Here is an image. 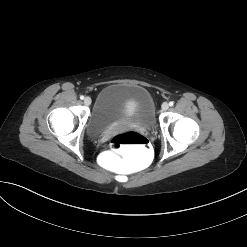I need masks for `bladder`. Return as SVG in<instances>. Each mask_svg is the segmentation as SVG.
Returning <instances> with one entry per match:
<instances>
[{
	"label": "bladder",
	"instance_id": "1",
	"mask_svg": "<svg viewBox=\"0 0 247 247\" xmlns=\"http://www.w3.org/2000/svg\"><path fill=\"white\" fill-rule=\"evenodd\" d=\"M155 106L151 94L143 87L112 84L99 94L87 129L102 133L117 123L151 128L155 125Z\"/></svg>",
	"mask_w": 247,
	"mask_h": 247
}]
</instances>
